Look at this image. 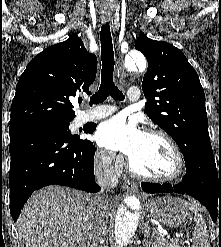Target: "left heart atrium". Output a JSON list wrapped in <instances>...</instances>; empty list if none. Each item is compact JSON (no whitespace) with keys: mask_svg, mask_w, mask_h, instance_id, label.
Here are the masks:
<instances>
[{"mask_svg":"<svg viewBox=\"0 0 221 247\" xmlns=\"http://www.w3.org/2000/svg\"><path fill=\"white\" fill-rule=\"evenodd\" d=\"M144 135L145 132L134 122L116 116L99 126L95 139L100 146L122 152L130 158L138 150Z\"/></svg>","mask_w":221,"mask_h":247,"instance_id":"39dd6f15","label":"left heart atrium"}]
</instances>
